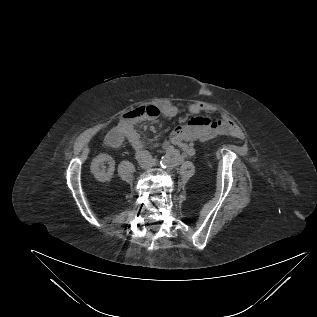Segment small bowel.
<instances>
[{"label": "small bowel", "mask_w": 317, "mask_h": 317, "mask_svg": "<svg viewBox=\"0 0 317 317\" xmlns=\"http://www.w3.org/2000/svg\"><path fill=\"white\" fill-rule=\"evenodd\" d=\"M161 114L167 118H174L178 115L181 104H175L169 100L160 102ZM188 111L192 115L187 124L177 126L173 129L170 140L164 144V150L169 155L179 159L192 157L195 154L193 143L195 141H208L221 134H236L237 128L234 125H229L222 119H211L203 115L209 109L201 103H190ZM119 133L124 138H127L131 144L140 149L143 146V141L140 135L135 130V122L126 120L121 122L107 137ZM180 150V153L178 151Z\"/></svg>", "instance_id": "1"}]
</instances>
